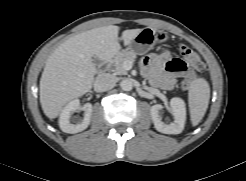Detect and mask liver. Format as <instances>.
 I'll list each match as a JSON object with an SVG mask.
<instances>
[{"mask_svg":"<svg viewBox=\"0 0 246 181\" xmlns=\"http://www.w3.org/2000/svg\"><path fill=\"white\" fill-rule=\"evenodd\" d=\"M141 31L124 30V45ZM118 32L114 25L94 28L70 37L54 50L40 79V103L48 118H56L64 105L91 90L96 72L93 57L109 60L117 55L121 50Z\"/></svg>","mask_w":246,"mask_h":181,"instance_id":"6515ba94","label":"liver"}]
</instances>
